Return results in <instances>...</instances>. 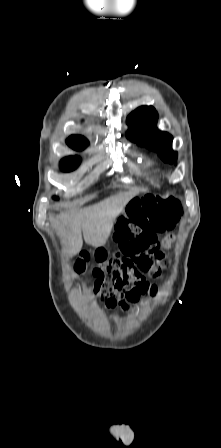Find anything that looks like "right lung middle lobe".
<instances>
[{
    "mask_svg": "<svg viewBox=\"0 0 221 448\" xmlns=\"http://www.w3.org/2000/svg\"><path fill=\"white\" fill-rule=\"evenodd\" d=\"M79 164H80V159L68 157V158H64L61 161L60 166L63 171H72V170L76 169Z\"/></svg>",
    "mask_w": 221,
    "mask_h": 448,
    "instance_id": "dd1d6c3e",
    "label": "right lung middle lobe"
}]
</instances>
